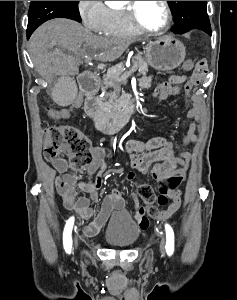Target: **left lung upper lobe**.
Returning <instances> with one entry per match:
<instances>
[{
  "instance_id": "5c2ea615",
  "label": "left lung upper lobe",
  "mask_w": 237,
  "mask_h": 300,
  "mask_svg": "<svg viewBox=\"0 0 237 300\" xmlns=\"http://www.w3.org/2000/svg\"><path fill=\"white\" fill-rule=\"evenodd\" d=\"M175 25L172 31L183 34L191 29H199L211 35V26L207 14L206 1H168Z\"/></svg>"
}]
</instances>
